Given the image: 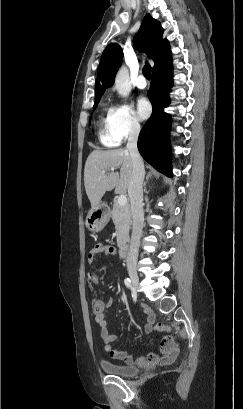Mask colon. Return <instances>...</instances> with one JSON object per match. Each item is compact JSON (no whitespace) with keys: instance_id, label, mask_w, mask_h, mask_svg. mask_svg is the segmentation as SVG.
I'll return each instance as SVG.
<instances>
[{"instance_id":"obj_1","label":"colon","mask_w":243,"mask_h":409,"mask_svg":"<svg viewBox=\"0 0 243 409\" xmlns=\"http://www.w3.org/2000/svg\"><path fill=\"white\" fill-rule=\"evenodd\" d=\"M91 307H92V310H93L94 313L101 312L103 310V307H104L103 300L101 298H95L92 301ZM156 328L158 330H167L168 329L167 326H165V325H163L161 323L157 324Z\"/></svg>"}]
</instances>
